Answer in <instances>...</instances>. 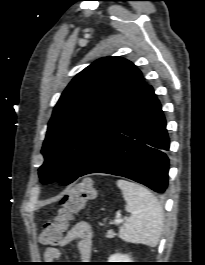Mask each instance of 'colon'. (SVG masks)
<instances>
[{
  "instance_id": "5ec220e1",
  "label": "colon",
  "mask_w": 205,
  "mask_h": 265,
  "mask_svg": "<svg viewBox=\"0 0 205 265\" xmlns=\"http://www.w3.org/2000/svg\"><path fill=\"white\" fill-rule=\"evenodd\" d=\"M94 196L95 189L90 179H85L72 187L64 196L56 217L42 226L39 233V242L43 245L59 244L74 215Z\"/></svg>"
}]
</instances>
